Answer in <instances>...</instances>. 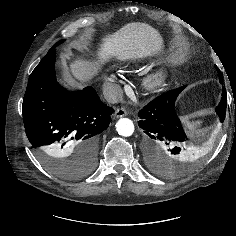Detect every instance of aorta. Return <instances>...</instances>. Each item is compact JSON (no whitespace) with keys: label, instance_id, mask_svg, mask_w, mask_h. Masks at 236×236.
Listing matches in <instances>:
<instances>
[{"label":"aorta","instance_id":"aorta-1","mask_svg":"<svg viewBox=\"0 0 236 236\" xmlns=\"http://www.w3.org/2000/svg\"><path fill=\"white\" fill-rule=\"evenodd\" d=\"M116 131L121 136L124 137L131 136L134 132V124L128 118H121L116 123Z\"/></svg>","mask_w":236,"mask_h":236}]
</instances>
